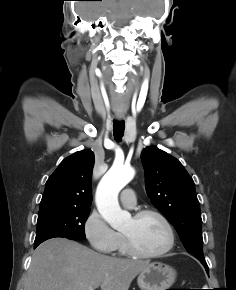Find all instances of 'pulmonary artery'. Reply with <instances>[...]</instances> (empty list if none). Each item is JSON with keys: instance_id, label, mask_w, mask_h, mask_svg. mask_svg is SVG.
<instances>
[{"instance_id": "1", "label": "pulmonary artery", "mask_w": 236, "mask_h": 290, "mask_svg": "<svg viewBox=\"0 0 236 290\" xmlns=\"http://www.w3.org/2000/svg\"><path fill=\"white\" fill-rule=\"evenodd\" d=\"M121 202L124 206L132 208L136 204V194L133 189L126 188L121 193Z\"/></svg>"}]
</instances>
